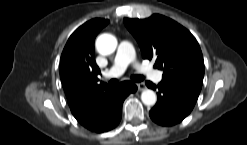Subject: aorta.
Wrapping results in <instances>:
<instances>
[{"instance_id":"762f6f07","label":"aorta","mask_w":247,"mask_h":145,"mask_svg":"<svg viewBox=\"0 0 247 145\" xmlns=\"http://www.w3.org/2000/svg\"><path fill=\"white\" fill-rule=\"evenodd\" d=\"M117 39L114 35L104 33L96 40V48L103 55L112 54L117 48ZM141 100L144 105L152 106L157 101L156 93L153 90L145 89L141 94Z\"/></svg>"}]
</instances>
